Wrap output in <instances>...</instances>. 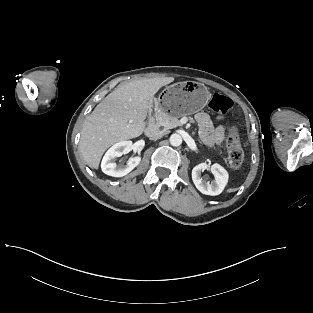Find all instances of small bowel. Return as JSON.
<instances>
[{
  "mask_svg": "<svg viewBox=\"0 0 313 313\" xmlns=\"http://www.w3.org/2000/svg\"><path fill=\"white\" fill-rule=\"evenodd\" d=\"M199 126L200 136L208 145L220 144L224 137V127L213 128L208 114L200 112L195 117Z\"/></svg>",
  "mask_w": 313,
  "mask_h": 313,
  "instance_id": "1",
  "label": "small bowel"
}]
</instances>
